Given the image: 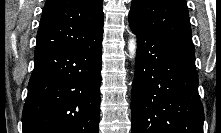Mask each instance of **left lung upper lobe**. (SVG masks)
Here are the masks:
<instances>
[{"label": "left lung upper lobe", "instance_id": "obj_1", "mask_svg": "<svg viewBox=\"0 0 221 133\" xmlns=\"http://www.w3.org/2000/svg\"><path fill=\"white\" fill-rule=\"evenodd\" d=\"M129 23L135 30L167 34L192 41L185 0H132Z\"/></svg>", "mask_w": 221, "mask_h": 133}]
</instances>
